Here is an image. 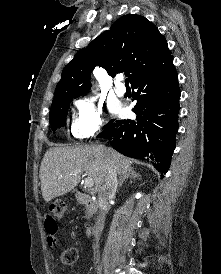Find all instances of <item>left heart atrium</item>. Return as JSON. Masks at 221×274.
I'll list each match as a JSON object with an SVG mask.
<instances>
[{
	"instance_id": "obj_1",
	"label": "left heart atrium",
	"mask_w": 221,
	"mask_h": 274,
	"mask_svg": "<svg viewBox=\"0 0 221 274\" xmlns=\"http://www.w3.org/2000/svg\"><path fill=\"white\" fill-rule=\"evenodd\" d=\"M113 111H114V112H117V113H120V112H121V109H120V107H118V106H114Z\"/></svg>"
}]
</instances>
